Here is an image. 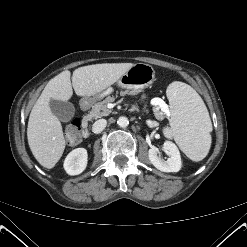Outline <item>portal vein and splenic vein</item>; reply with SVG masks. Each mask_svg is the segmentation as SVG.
Masks as SVG:
<instances>
[{"label":"portal vein and splenic vein","mask_w":247,"mask_h":247,"mask_svg":"<svg viewBox=\"0 0 247 247\" xmlns=\"http://www.w3.org/2000/svg\"><path fill=\"white\" fill-rule=\"evenodd\" d=\"M161 109L163 110V112H165V114H167L168 116L170 115L169 108L165 103L161 104Z\"/></svg>","instance_id":"18ae733b"}]
</instances>
